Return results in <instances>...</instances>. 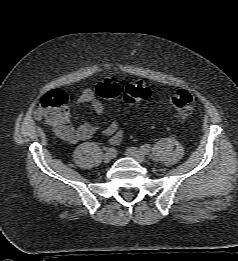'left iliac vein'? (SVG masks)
<instances>
[{
    "mask_svg": "<svg viewBox=\"0 0 238 261\" xmlns=\"http://www.w3.org/2000/svg\"><path fill=\"white\" fill-rule=\"evenodd\" d=\"M125 154L139 163H143L146 160L145 154L135 147L127 148Z\"/></svg>",
    "mask_w": 238,
    "mask_h": 261,
    "instance_id": "obj_1",
    "label": "left iliac vein"
}]
</instances>
